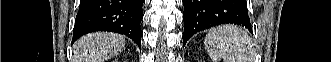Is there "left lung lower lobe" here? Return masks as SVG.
I'll list each match as a JSON object with an SVG mask.
<instances>
[{
  "label": "left lung lower lobe",
  "instance_id": "1",
  "mask_svg": "<svg viewBox=\"0 0 331 62\" xmlns=\"http://www.w3.org/2000/svg\"><path fill=\"white\" fill-rule=\"evenodd\" d=\"M183 45L195 33L220 24H237L251 30L246 0H183Z\"/></svg>",
  "mask_w": 331,
  "mask_h": 62
}]
</instances>
